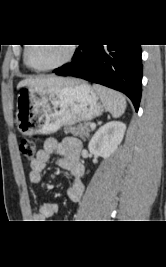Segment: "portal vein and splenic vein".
I'll return each instance as SVG.
<instances>
[{"label": "portal vein and splenic vein", "instance_id": "obj_1", "mask_svg": "<svg viewBox=\"0 0 166 267\" xmlns=\"http://www.w3.org/2000/svg\"><path fill=\"white\" fill-rule=\"evenodd\" d=\"M90 128L91 129H95L96 128V125L93 123V124L90 125Z\"/></svg>", "mask_w": 166, "mask_h": 267}]
</instances>
